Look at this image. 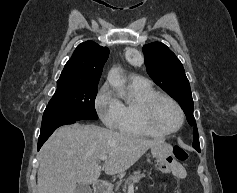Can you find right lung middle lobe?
<instances>
[{
    "mask_svg": "<svg viewBox=\"0 0 237 193\" xmlns=\"http://www.w3.org/2000/svg\"><path fill=\"white\" fill-rule=\"evenodd\" d=\"M98 84L57 81V90L44 113L63 115L75 120L98 118L95 98Z\"/></svg>",
    "mask_w": 237,
    "mask_h": 193,
    "instance_id": "obj_1",
    "label": "right lung middle lobe"
}]
</instances>
